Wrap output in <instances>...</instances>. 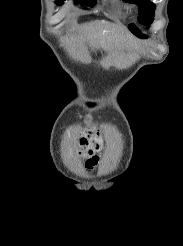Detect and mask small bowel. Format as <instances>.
<instances>
[{
	"instance_id": "obj_1",
	"label": "small bowel",
	"mask_w": 183,
	"mask_h": 246,
	"mask_svg": "<svg viewBox=\"0 0 183 246\" xmlns=\"http://www.w3.org/2000/svg\"><path fill=\"white\" fill-rule=\"evenodd\" d=\"M99 157L97 155H93L86 163L87 172H91L93 168L98 164Z\"/></svg>"
}]
</instances>
